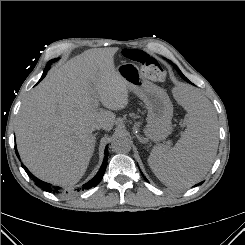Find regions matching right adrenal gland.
<instances>
[{
  "instance_id": "2a0ac1e0",
  "label": "right adrenal gland",
  "mask_w": 245,
  "mask_h": 245,
  "mask_svg": "<svg viewBox=\"0 0 245 245\" xmlns=\"http://www.w3.org/2000/svg\"><path fill=\"white\" fill-rule=\"evenodd\" d=\"M97 134H98V133L94 134V139H95V141H96V136H97Z\"/></svg>"
}]
</instances>
